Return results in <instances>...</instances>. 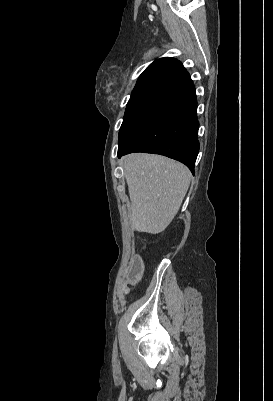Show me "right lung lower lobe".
<instances>
[{
	"instance_id": "98d812e1",
	"label": "right lung lower lobe",
	"mask_w": 273,
	"mask_h": 401,
	"mask_svg": "<svg viewBox=\"0 0 273 401\" xmlns=\"http://www.w3.org/2000/svg\"><path fill=\"white\" fill-rule=\"evenodd\" d=\"M197 98L193 83L169 97L128 140L118 148V157L145 152L161 154L184 163L193 173L199 152Z\"/></svg>"
}]
</instances>
